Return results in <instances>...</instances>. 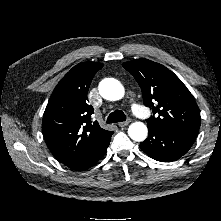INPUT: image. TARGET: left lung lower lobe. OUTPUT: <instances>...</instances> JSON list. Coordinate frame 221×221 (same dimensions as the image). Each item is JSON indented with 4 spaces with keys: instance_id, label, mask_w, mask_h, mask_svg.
<instances>
[{
    "instance_id": "left-lung-lower-lobe-1",
    "label": "left lung lower lobe",
    "mask_w": 221,
    "mask_h": 221,
    "mask_svg": "<svg viewBox=\"0 0 221 221\" xmlns=\"http://www.w3.org/2000/svg\"><path fill=\"white\" fill-rule=\"evenodd\" d=\"M148 138L140 143V148L151 158L170 162L179 159L192 146L197 134L174 132L148 126Z\"/></svg>"
}]
</instances>
